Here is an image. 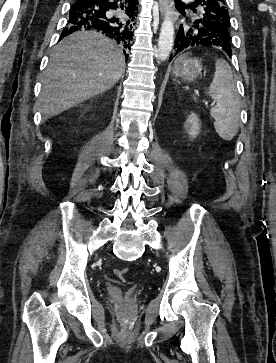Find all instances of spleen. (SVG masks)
<instances>
[{"mask_svg": "<svg viewBox=\"0 0 276 363\" xmlns=\"http://www.w3.org/2000/svg\"><path fill=\"white\" fill-rule=\"evenodd\" d=\"M183 59L176 60L175 66ZM215 74L207 93L216 102L210 110L218 135L231 141L237 135L240 121V98L234 83L230 65L224 59H216ZM195 98V97H194Z\"/></svg>", "mask_w": 276, "mask_h": 363, "instance_id": "1", "label": "spleen"}]
</instances>
